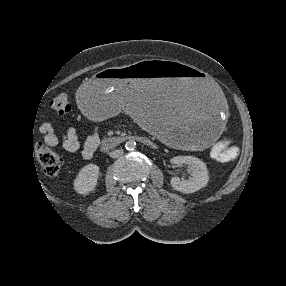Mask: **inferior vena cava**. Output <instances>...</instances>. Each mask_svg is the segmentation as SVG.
I'll return each instance as SVG.
<instances>
[{"label":"inferior vena cava","mask_w":286,"mask_h":286,"mask_svg":"<svg viewBox=\"0 0 286 286\" xmlns=\"http://www.w3.org/2000/svg\"><path fill=\"white\" fill-rule=\"evenodd\" d=\"M123 155V150L122 149H117L113 150L110 152V157L111 158H118Z\"/></svg>","instance_id":"1"}]
</instances>
